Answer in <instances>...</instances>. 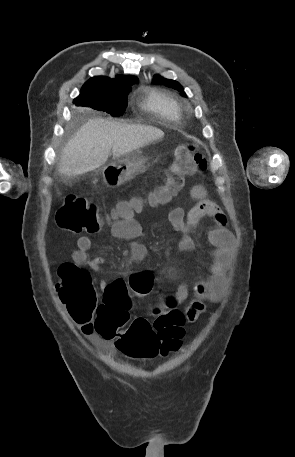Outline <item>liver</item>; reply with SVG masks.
I'll use <instances>...</instances> for the list:
<instances>
[{
	"label": "liver",
	"instance_id": "obj_1",
	"mask_svg": "<svg viewBox=\"0 0 295 457\" xmlns=\"http://www.w3.org/2000/svg\"><path fill=\"white\" fill-rule=\"evenodd\" d=\"M163 137L164 132L153 126L90 119L63 148L58 171L68 177L82 175L104 165L111 150L118 159Z\"/></svg>",
	"mask_w": 295,
	"mask_h": 457
}]
</instances>
